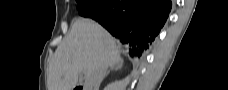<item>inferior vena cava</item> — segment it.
<instances>
[{"label": "inferior vena cava", "mask_w": 228, "mask_h": 90, "mask_svg": "<svg viewBox=\"0 0 228 90\" xmlns=\"http://www.w3.org/2000/svg\"><path fill=\"white\" fill-rule=\"evenodd\" d=\"M107 68L108 64L105 62L96 65L86 78L85 90H98V87L105 77Z\"/></svg>", "instance_id": "obj_1"}]
</instances>
